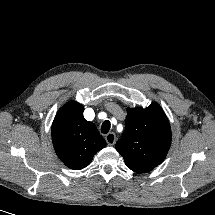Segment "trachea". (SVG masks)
<instances>
[{"instance_id":"trachea-1","label":"trachea","mask_w":215,"mask_h":215,"mask_svg":"<svg viewBox=\"0 0 215 215\" xmlns=\"http://www.w3.org/2000/svg\"><path fill=\"white\" fill-rule=\"evenodd\" d=\"M110 126L111 124L109 120L104 121L101 126V132L104 134L108 133V131L110 130Z\"/></svg>"}]
</instances>
